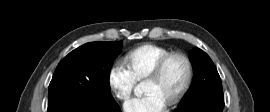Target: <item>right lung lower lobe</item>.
Listing matches in <instances>:
<instances>
[{
    "mask_svg": "<svg viewBox=\"0 0 270 112\" xmlns=\"http://www.w3.org/2000/svg\"><path fill=\"white\" fill-rule=\"evenodd\" d=\"M48 112H121V110L116 102L102 104L84 94H74L48 103Z\"/></svg>",
    "mask_w": 270,
    "mask_h": 112,
    "instance_id": "98d812e1",
    "label": "right lung lower lobe"
}]
</instances>
